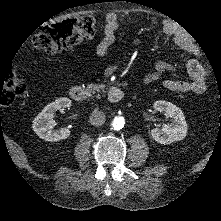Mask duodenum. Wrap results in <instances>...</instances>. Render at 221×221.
Here are the masks:
<instances>
[{
    "instance_id": "duodenum-1",
    "label": "duodenum",
    "mask_w": 221,
    "mask_h": 221,
    "mask_svg": "<svg viewBox=\"0 0 221 221\" xmlns=\"http://www.w3.org/2000/svg\"><path fill=\"white\" fill-rule=\"evenodd\" d=\"M69 96L72 100L80 102L85 100L86 91L82 86H73L69 91ZM107 96L111 103H118L123 99L124 94L119 87L110 85L107 88Z\"/></svg>"
}]
</instances>
